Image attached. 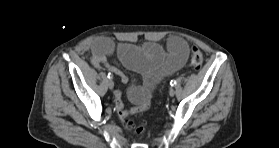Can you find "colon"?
<instances>
[{
  "label": "colon",
  "instance_id": "1",
  "mask_svg": "<svg viewBox=\"0 0 279 148\" xmlns=\"http://www.w3.org/2000/svg\"><path fill=\"white\" fill-rule=\"evenodd\" d=\"M203 63V55L201 51L197 47L191 48L190 53V65L195 69L199 70ZM125 126L135 132L136 134H143L147 131V127L145 124H136L132 120H125Z\"/></svg>",
  "mask_w": 279,
  "mask_h": 148
}]
</instances>
